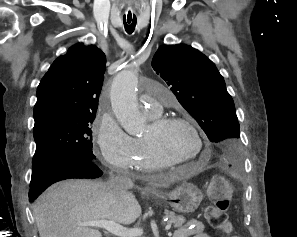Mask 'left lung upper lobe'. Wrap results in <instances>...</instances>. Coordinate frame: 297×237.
Instances as JSON below:
<instances>
[{"mask_svg": "<svg viewBox=\"0 0 297 237\" xmlns=\"http://www.w3.org/2000/svg\"><path fill=\"white\" fill-rule=\"evenodd\" d=\"M152 67L216 145L221 158H240L235 105L213 62L191 46L164 45L155 53Z\"/></svg>", "mask_w": 297, "mask_h": 237, "instance_id": "1", "label": "left lung upper lobe"}]
</instances>
